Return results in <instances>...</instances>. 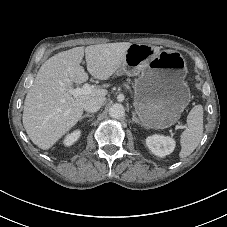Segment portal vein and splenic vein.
<instances>
[{"label": "portal vein and splenic vein", "instance_id": "1", "mask_svg": "<svg viewBox=\"0 0 227 227\" xmlns=\"http://www.w3.org/2000/svg\"><path fill=\"white\" fill-rule=\"evenodd\" d=\"M92 89H93V86H90L88 83H85L82 88H74V89H70L69 91L73 95L77 96L81 94L90 93ZM183 128H185V126L176 125V129H183Z\"/></svg>", "mask_w": 227, "mask_h": 227}]
</instances>
